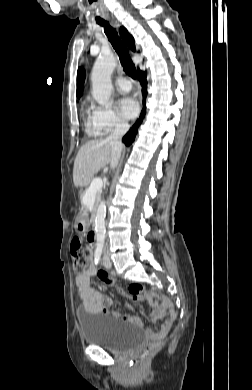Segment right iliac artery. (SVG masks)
I'll return each instance as SVG.
<instances>
[{
    "label": "right iliac artery",
    "mask_w": 252,
    "mask_h": 390,
    "mask_svg": "<svg viewBox=\"0 0 252 390\" xmlns=\"http://www.w3.org/2000/svg\"><path fill=\"white\" fill-rule=\"evenodd\" d=\"M102 250H103V245L102 244H99L97 245V248L95 250V254H94V261H95V264L97 265L100 261V257H101V254H102Z\"/></svg>",
    "instance_id": "82829eb1"
}]
</instances>
